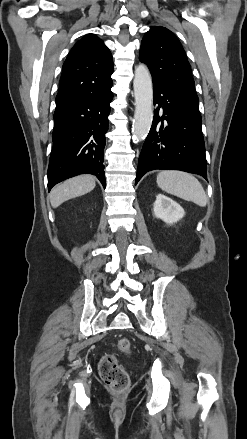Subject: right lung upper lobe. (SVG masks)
Instances as JSON below:
<instances>
[{"instance_id":"1","label":"right lung upper lobe","mask_w":247,"mask_h":439,"mask_svg":"<svg viewBox=\"0 0 247 439\" xmlns=\"http://www.w3.org/2000/svg\"><path fill=\"white\" fill-rule=\"evenodd\" d=\"M113 59L109 49L94 34L85 35L69 52L60 79L56 107L112 85Z\"/></svg>"}]
</instances>
